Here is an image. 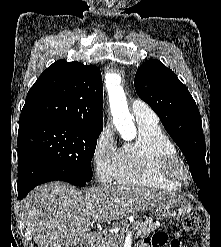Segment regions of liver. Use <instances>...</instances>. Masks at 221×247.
<instances>
[{
  "instance_id": "6515ba94",
  "label": "liver",
  "mask_w": 221,
  "mask_h": 247,
  "mask_svg": "<svg viewBox=\"0 0 221 247\" xmlns=\"http://www.w3.org/2000/svg\"><path fill=\"white\" fill-rule=\"evenodd\" d=\"M178 197L143 187L101 186L77 190L63 182L33 189L22 201L21 216L38 247H74L89 226L117 222Z\"/></svg>"
}]
</instances>
